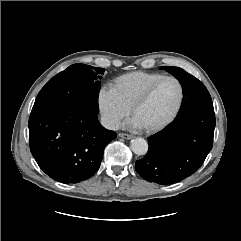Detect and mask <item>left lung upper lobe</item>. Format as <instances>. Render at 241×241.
<instances>
[{
    "mask_svg": "<svg viewBox=\"0 0 241 241\" xmlns=\"http://www.w3.org/2000/svg\"><path fill=\"white\" fill-rule=\"evenodd\" d=\"M176 77L183 89V101L178 116L201 107H213L211 96L201 81L179 67L164 66Z\"/></svg>",
    "mask_w": 241,
    "mask_h": 241,
    "instance_id": "obj_1",
    "label": "left lung upper lobe"
}]
</instances>
